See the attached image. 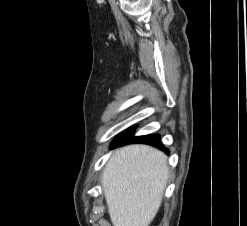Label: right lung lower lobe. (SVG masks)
Returning <instances> with one entry per match:
<instances>
[{
  "mask_svg": "<svg viewBox=\"0 0 247 226\" xmlns=\"http://www.w3.org/2000/svg\"><path fill=\"white\" fill-rule=\"evenodd\" d=\"M133 133H134V128H130L127 131L119 134L112 142L111 148H114L118 145H122L125 143H145L155 146L165 151L167 154L169 153L168 149H165L162 143L160 142V135L152 134V135L133 137Z\"/></svg>",
  "mask_w": 247,
  "mask_h": 226,
  "instance_id": "1",
  "label": "right lung lower lobe"
}]
</instances>
